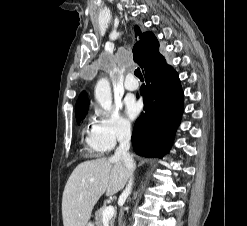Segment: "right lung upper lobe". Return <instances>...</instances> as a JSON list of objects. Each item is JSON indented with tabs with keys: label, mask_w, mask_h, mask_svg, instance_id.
I'll return each instance as SVG.
<instances>
[{
	"label": "right lung upper lobe",
	"mask_w": 247,
	"mask_h": 226,
	"mask_svg": "<svg viewBox=\"0 0 247 226\" xmlns=\"http://www.w3.org/2000/svg\"><path fill=\"white\" fill-rule=\"evenodd\" d=\"M136 35H139V41L133 47L134 61L142 68H145L147 54L150 50L158 48L159 42L152 32L140 31L138 26L134 27ZM89 101L85 91L81 92L76 102V117L87 113Z\"/></svg>",
	"instance_id": "1"
}]
</instances>
